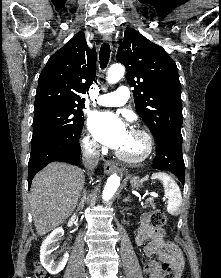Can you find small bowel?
Listing matches in <instances>:
<instances>
[{
	"mask_svg": "<svg viewBox=\"0 0 221 278\" xmlns=\"http://www.w3.org/2000/svg\"><path fill=\"white\" fill-rule=\"evenodd\" d=\"M136 243L143 246V252L147 257L154 254L159 255L158 260H150L144 265V272L147 278H164L161 269L162 263L171 264L176 276H179L184 268V259L181 251L173 243L164 240V230L151 224L149 214L141 218Z\"/></svg>",
	"mask_w": 221,
	"mask_h": 278,
	"instance_id": "obj_1",
	"label": "small bowel"
}]
</instances>
